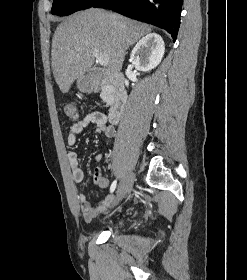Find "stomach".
Listing matches in <instances>:
<instances>
[{
  "label": "stomach",
  "mask_w": 247,
  "mask_h": 280,
  "mask_svg": "<svg viewBox=\"0 0 247 280\" xmlns=\"http://www.w3.org/2000/svg\"><path fill=\"white\" fill-rule=\"evenodd\" d=\"M77 86L81 91L87 92L92 87L89 83H87L82 77H80L77 81Z\"/></svg>",
  "instance_id": "1"
}]
</instances>
